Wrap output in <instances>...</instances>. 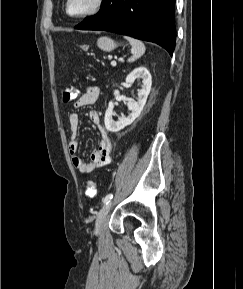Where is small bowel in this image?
Masks as SVG:
<instances>
[{
	"label": "small bowel",
	"mask_w": 243,
	"mask_h": 289,
	"mask_svg": "<svg viewBox=\"0 0 243 289\" xmlns=\"http://www.w3.org/2000/svg\"><path fill=\"white\" fill-rule=\"evenodd\" d=\"M99 96V89L96 86H89L86 92L79 96L74 103V109L94 104ZM89 118L93 125L97 127L100 139L97 147L92 151L90 160L85 162L77 155L79 142L77 140V133L79 130V116L76 112L69 114V129L70 140L68 144L69 153L72 156L73 166L82 174H88L97 168L103 167L110 163L111 141L106 129L100 123V116L97 111L91 110Z\"/></svg>",
	"instance_id": "obj_1"
}]
</instances>
